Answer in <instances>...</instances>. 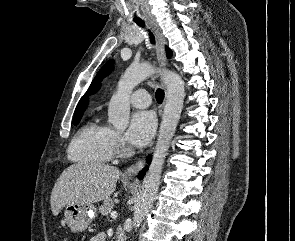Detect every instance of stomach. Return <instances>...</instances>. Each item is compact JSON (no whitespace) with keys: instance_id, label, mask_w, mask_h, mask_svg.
I'll return each mask as SVG.
<instances>
[{"instance_id":"0dacf381","label":"stomach","mask_w":295,"mask_h":241,"mask_svg":"<svg viewBox=\"0 0 295 241\" xmlns=\"http://www.w3.org/2000/svg\"><path fill=\"white\" fill-rule=\"evenodd\" d=\"M96 215L97 209L92 204H69L64 211L66 224L76 233L85 231Z\"/></svg>"}]
</instances>
